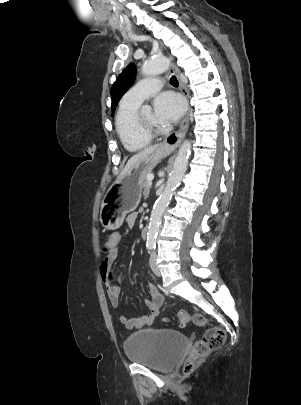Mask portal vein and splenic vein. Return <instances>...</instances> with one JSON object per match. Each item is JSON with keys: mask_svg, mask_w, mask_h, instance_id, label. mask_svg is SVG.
I'll return each instance as SVG.
<instances>
[{"mask_svg": "<svg viewBox=\"0 0 301 405\" xmlns=\"http://www.w3.org/2000/svg\"><path fill=\"white\" fill-rule=\"evenodd\" d=\"M147 179L150 181V184H152L151 181L154 179V176L152 174H148Z\"/></svg>", "mask_w": 301, "mask_h": 405, "instance_id": "1", "label": "portal vein and splenic vein"}]
</instances>
